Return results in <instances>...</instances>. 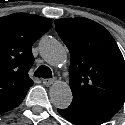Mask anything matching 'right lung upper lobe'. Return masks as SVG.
Wrapping results in <instances>:
<instances>
[{"instance_id": "right-lung-upper-lobe-1", "label": "right lung upper lobe", "mask_w": 125, "mask_h": 125, "mask_svg": "<svg viewBox=\"0 0 125 125\" xmlns=\"http://www.w3.org/2000/svg\"><path fill=\"white\" fill-rule=\"evenodd\" d=\"M51 26L49 18L27 13L0 18V103L26 96L33 85L31 47Z\"/></svg>"}]
</instances>
